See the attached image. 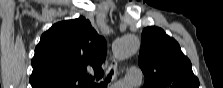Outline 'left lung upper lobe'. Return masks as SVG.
<instances>
[{
  "label": "left lung upper lobe",
  "mask_w": 223,
  "mask_h": 88,
  "mask_svg": "<svg viewBox=\"0 0 223 88\" xmlns=\"http://www.w3.org/2000/svg\"><path fill=\"white\" fill-rule=\"evenodd\" d=\"M138 63L145 76L143 88H199L190 60L161 28L143 30Z\"/></svg>",
  "instance_id": "obj_1"
}]
</instances>
